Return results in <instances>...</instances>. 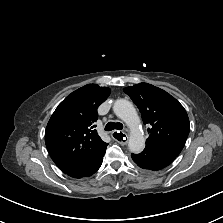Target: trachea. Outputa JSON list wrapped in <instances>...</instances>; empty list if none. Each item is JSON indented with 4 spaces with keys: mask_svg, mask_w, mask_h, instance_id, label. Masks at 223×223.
Segmentation results:
<instances>
[{
    "mask_svg": "<svg viewBox=\"0 0 223 223\" xmlns=\"http://www.w3.org/2000/svg\"><path fill=\"white\" fill-rule=\"evenodd\" d=\"M122 130L123 124L120 122H109L105 126V131H112V130Z\"/></svg>",
    "mask_w": 223,
    "mask_h": 223,
    "instance_id": "1",
    "label": "trachea"
}]
</instances>
